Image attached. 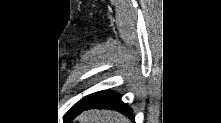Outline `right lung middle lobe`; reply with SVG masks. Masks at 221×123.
<instances>
[{
	"instance_id": "1",
	"label": "right lung middle lobe",
	"mask_w": 221,
	"mask_h": 123,
	"mask_svg": "<svg viewBox=\"0 0 221 123\" xmlns=\"http://www.w3.org/2000/svg\"><path fill=\"white\" fill-rule=\"evenodd\" d=\"M94 94L88 95L86 97H84L83 99H81L78 103H76L68 112H67V116L72 117V116H77L78 114H80L83 109L92 101Z\"/></svg>"
}]
</instances>
